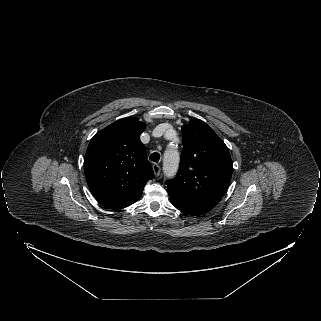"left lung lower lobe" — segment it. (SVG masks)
<instances>
[{
    "instance_id": "left-lung-lower-lobe-1",
    "label": "left lung lower lobe",
    "mask_w": 321,
    "mask_h": 321,
    "mask_svg": "<svg viewBox=\"0 0 321 321\" xmlns=\"http://www.w3.org/2000/svg\"><path fill=\"white\" fill-rule=\"evenodd\" d=\"M169 198L176 208L191 216L205 214L213 208V206L188 202L171 194H169Z\"/></svg>"
}]
</instances>
